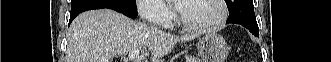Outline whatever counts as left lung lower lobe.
<instances>
[{"instance_id":"left-lung-lower-lobe-1","label":"left lung lower lobe","mask_w":331,"mask_h":62,"mask_svg":"<svg viewBox=\"0 0 331 62\" xmlns=\"http://www.w3.org/2000/svg\"><path fill=\"white\" fill-rule=\"evenodd\" d=\"M240 25H242V24H240ZM242 26L246 27V28H247L252 34H254L255 36H258L259 31L256 32L253 28H251V27H249V26H245V25H242Z\"/></svg>"}]
</instances>
